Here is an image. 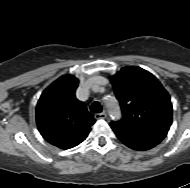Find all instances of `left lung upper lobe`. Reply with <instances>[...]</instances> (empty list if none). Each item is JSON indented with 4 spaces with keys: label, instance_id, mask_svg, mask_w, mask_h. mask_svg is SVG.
Masks as SVG:
<instances>
[{
    "label": "left lung upper lobe",
    "instance_id": "left-lung-upper-lobe-1",
    "mask_svg": "<svg viewBox=\"0 0 190 188\" xmlns=\"http://www.w3.org/2000/svg\"><path fill=\"white\" fill-rule=\"evenodd\" d=\"M110 80L122 110V119L114 123L145 132L168 133L172 104L155 76L140 67L129 66Z\"/></svg>",
    "mask_w": 190,
    "mask_h": 188
}]
</instances>
